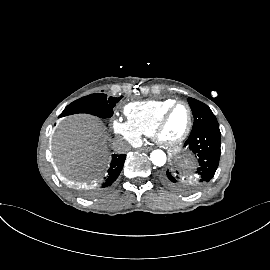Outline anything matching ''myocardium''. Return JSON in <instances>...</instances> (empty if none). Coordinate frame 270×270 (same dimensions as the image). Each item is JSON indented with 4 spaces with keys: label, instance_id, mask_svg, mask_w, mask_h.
<instances>
[{
    "label": "myocardium",
    "instance_id": "obj_1",
    "mask_svg": "<svg viewBox=\"0 0 270 270\" xmlns=\"http://www.w3.org/2000/svg\"><path fill=\"white\" fill-rule=\"evenodd\" d=\"M180 105H183V106H185L187 108V111H188V123H187V126H186L185 130L183 131V133L180 136H178V137H176L174 139H166V138L163 137V130H164V127L166 125V122H167L171 112L177 106H180ZM192 126H193V112H192V109H191L190 105L185 101H176L172 105H170L163 112L161 117L159 118V120H158V122L156 124L155 130H154L153 136H154L155 141L159 145L167 147V148L175 147V146H178L179 144H181L188 137V135L191 132Z\"/></svg>",
    "mask_w": 270,
    "mask_h": 270
}]
</instances>
